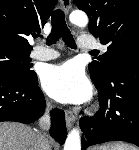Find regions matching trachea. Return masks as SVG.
<instances>
[{
	"instance_id": "trachea-1",
	"label": "trachea",
	"mask_w": 139,
	"mask_h": 150,
	"mask_svg": "<svg viewBox=\"0 0 139 150\" xmlns=\"http://www.w3.org/2000/svg\"><path fill=\"white\" fill-rule=\"evenodd\" d=\"M52 31L47 38V44H55L60 38L65 42V44L70 48H76L74 38L68 29L64 13L62 10L57 9L52 14ZM92 53H96L92 51Z\"/></svg>"
}]
</instances>
